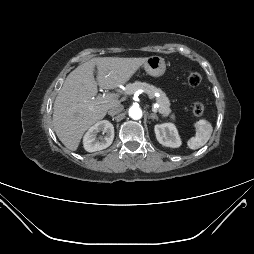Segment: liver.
<instances>
[{"label": "liver", "instance_id": "obj_1", "mask_svg": "<svg viewBox=\"0 0 254 254\" xmlns=\"http://www.w3.org/2000/svg\"><path fill=\"white\" fill-rule=\"evenodd\" d=\"M145 58L96 57L81 64L65 79L53 106V127L59 140L71 151H76L83 134L103 119L118 100L93 104L99 85L115 89L130 80L144 64ZM98 70L97 82L94 69Z\"/></svg>", "mask_w": 254, "mask_h": 254}]
</instances>
